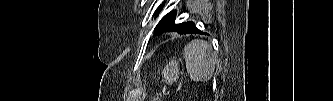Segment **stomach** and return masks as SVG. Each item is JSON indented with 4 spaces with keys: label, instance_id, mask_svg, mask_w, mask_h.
<instances>
[{
    "label": "stomach",
    "instance_id": "0dacf381",
    "mask_svg": "<svg viewBox=\"0 0 333 101\" xmlns=\"http://www.w3.org/2000/svg\"><path fill=\"white\" fill-rule=\"evenodd\" d=\"M163 75H164V79L168 84H172L173 82H175L178 78V74H179V67H178V63L173 60L170 61L163 69Z\"/></svg>",
    "mask_w": 333,
    "mask_h": 101
}]
</instances>
